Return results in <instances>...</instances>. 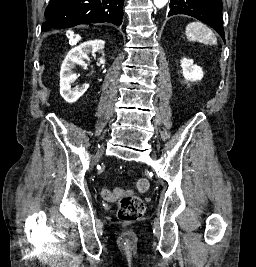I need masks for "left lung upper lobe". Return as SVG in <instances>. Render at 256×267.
<instances>
[{"instance_id":"5c2ea615","label":"left lung upper lobe","mask_w":256,"mask_h":267,"mask_svg":"<svg viewBox=\"0 0 256 267\" xmlns=\"http://www.w3.org/2000/svg\"><path fill=\"white\" fill-rule=\"evenodd\" d=\"M168 16H192L216 30L225 41L221 0H171Z\"/></svg>"}]
</instances>
